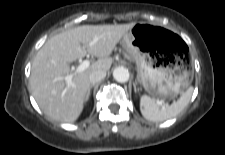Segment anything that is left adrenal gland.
Returning a JSON list of instances; mask_svg holds the SVG:
<instances>
[{
	"label": "left adrenal gland",
	"mask_w": 225,
	"mask_h": 155,
	"mask_svg": "<svg viewBox=\"0 0 225 155\" xmlns=\"http://www.w3.org/2000/svg\"><path fill=\"white\" fill-rule=\"evenodd\" d=\"M133 86H134V91L137 92L138 89L136 88V84L134 83Z\"/></svg>",
	"instance_id": "1"
}]
</instances>
